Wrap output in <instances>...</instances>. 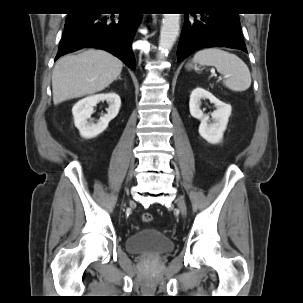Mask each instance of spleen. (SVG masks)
I'll list each match as a JSON object with an SVG mask.
<instances>
[{"mask_svg": "<svg viewBox=\"0 0 303 303\" xmlns=\"http://www.w3.org/2000/svg\"><path fill=\"white\" fill-rule=\"evenodd\" d=\"M193 62L199 65L214 66L225 76L224 85L232 91H245L251 85V74L247 65L233 53L219 48L198 51Z\"/></svg>", "mask_w": 303, "mask_h": 303, "instance_id": "obj_1", "label": "spleen"}]
</instances>
